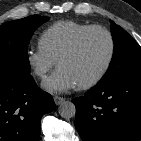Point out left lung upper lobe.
<instances>
[{
	"label": "left lung upper lobe",
	"mask_w": 141,
	"mask_h": 141,
	"mask_svg": "<svg viewBox=\"0 0 141 141\" xmlns=\"http://www.w3.org/2000/svg\"><path fill=\"white\" fill-rule=\"evenodd\" d=\"M114 52L110 66L99 83H107L122 76L141 73V47L120 26L111 22Z\"/></svg>",
	"instance_id": "1"
}]
</instances>
